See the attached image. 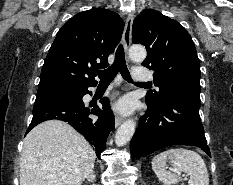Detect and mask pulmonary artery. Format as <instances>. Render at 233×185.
<instances>
[{
  "mask_svg": "<svg viewBox=\"0 0 233 185\" xmlns=\"http://www.w3.org/2000/svg\"><path fill=\"white\" fill-rule=\"evenodd\" d=\"M134 77L141 82H148L152 80V74L146 68H135Z\"/></svg>",
  "mask_w": 233,
  "mask_h": 185,
  "instance_id": "pulmonary-artery-1",
  "label": "pulmonary artery"
}]
</instances>
